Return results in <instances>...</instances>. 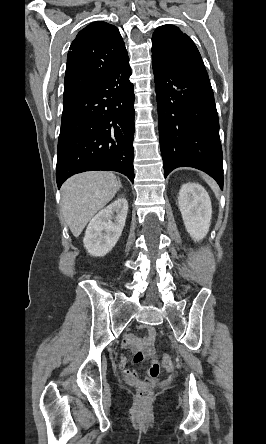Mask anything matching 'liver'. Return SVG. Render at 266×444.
<instances>
[{
  "label": "liver",
  "mask_w": 266,
  "mask_h": 444,
  "mask_svg": "<svg viewBox=\"0 0 266 444\" xmlns=\"http://www.w3.org/2000/svg\"><path fill=\"white\" fill-rule=\"evenodd\" d=\"M119 182L111 172H86L72 176L63 184L62 213L75 237L113 199L120 189Z\"/></svg>",
  "instance_id": "6515ba94"
}]
</instances>
